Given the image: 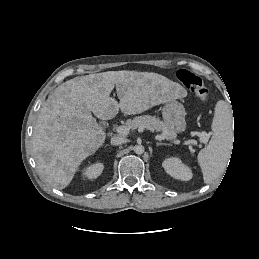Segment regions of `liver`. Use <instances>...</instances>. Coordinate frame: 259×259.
I'll return each mask as SVG.
<instances>
[{
	"instance_id": "obj_1",
	"label": "liver",
	"mask_w": 259,
	"mask_h": 259,
	"mask_svg": "<svg viewBox=\"0 0 259 259\" xmlns=\"http://www.w3.org/2000/svg\"><path fill=\"white\" fill-rule=\"evenodd\" d=\"M116 87L119 103L110 97ZM185 95L180 84L157 73L108 71L75 77L59 85L40 109L32 145L39 172L51 186L62 190L78 167L105 142L101 120L120 110L135 115Z\"/></svg>"
}]
</instances>
